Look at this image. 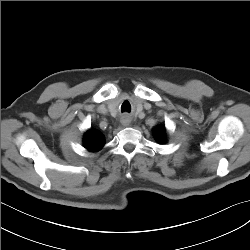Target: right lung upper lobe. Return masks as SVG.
<instances>
[{
	"label": "right lung upper lobe",
	"mask_w": 250,
	"mask_h": 250,
	"mask_svg": "<svg viewBox=\"0 0 250 250\" xmlns=\"http://www.w3.org/2000/svg\"><path fill=\"white\" fill-rule=\"evenodd\" d=\"M105 140L104 136L95 131L88 130L84 137V146L89 151H98L104 146Z\"/></svg>",
	"instance_id": "1"
}]
</instances>
